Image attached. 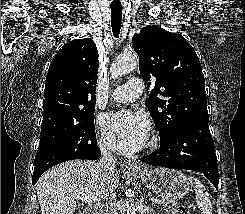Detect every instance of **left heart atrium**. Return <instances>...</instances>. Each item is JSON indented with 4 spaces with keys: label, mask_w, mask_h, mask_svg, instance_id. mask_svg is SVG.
I'll return each mask as SVG.
<instances>
[{
    "label": "left heart atrium",
    "mask_w": 245,
    "mask_h": 214,
    "mask_svg": "<svg viewBox=\"0 0 245 214\" xmlns=\"http://www.w3.org/2000/svg\"><path fill=\"white\" fill-rule=\"evenodd\" d=\"M100 126L109 147L124 154L143 147L150 127L146 117L128 110L105 114Z\"/></svg>",
    "instance_id": "39dd6f15"
}]
</instances>
